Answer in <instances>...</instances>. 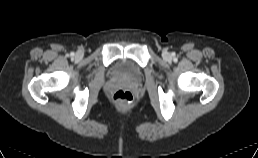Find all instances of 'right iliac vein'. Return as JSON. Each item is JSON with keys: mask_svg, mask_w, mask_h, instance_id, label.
Returning <instances> with one entry per match:
<instances>
[{"mask_svg": "<svg viewBox=\"0 0 258 158\" xmlns=\"http://www.w3.org/2000/svg\"><path fill=\"white\" fill-rule=\"evenodd\" d=\"M76 57H77V58L81 57V53L78 52V53L76 54Z\"/></svg>", "mask_w": 258, "mask_h": 158, "instance_id": "63e3f726", "label": "right iliac vein"}]
</instances>
